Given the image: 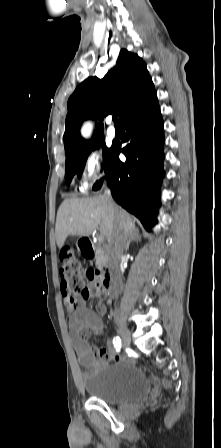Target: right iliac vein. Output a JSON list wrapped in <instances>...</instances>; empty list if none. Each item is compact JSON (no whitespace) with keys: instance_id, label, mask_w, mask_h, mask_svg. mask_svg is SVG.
Instances as JSON below:
<instances>
[{"instance_id":"63e3f726","label":"right iliac vein","mask_w":221,"mask_h":448,"mask_svg":"<svg viewBox=\"0 0 221 448\" xmlns=\"http://www.w3.org/2000/svg\"><path fill=\"white\" fill-rule=\"evenodd\" d=\"M119 333L123 342V346L129 347L131 343V333L129 329L122 323L118 322Z\"/></svg>"}]
</instances>
